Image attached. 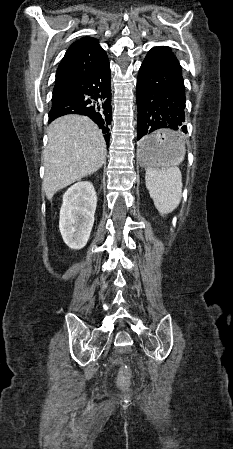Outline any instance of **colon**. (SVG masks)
Listing matches in <instances>:
<instances>
[{
    "instance_id": "colon-1",
    "label": "colon",
    "mask_w": 233,
    "mask_h": 449,
    "mask_svg": "<svg viewBox=\"0 0 233 449\" xmlns=\"http://www.w3.org/2000/svg\"><path fill=\"white\" fill-rule=\"evenodd\" d=\"M131 386V374L129 371H121L118 376V387L123 390H129Z\"/></svg>"
}]
</instances>
